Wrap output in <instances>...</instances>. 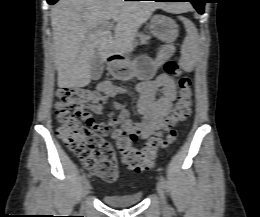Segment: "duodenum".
<instances>
[{"instance_id": "410a0bca", "label": "duodenum", "mask_w": 260, "mask_h": 217, "mask_svg": "<svg viewBox=\"0 0 260 217\" xmlns=\"http://www.w3.org/2000/svg\"><path fill=\"white\" fill-rule=\"evenodd\" d=\"M122 58V54L117 50H111L108 54V62L113 74H116L122 70V66L119 61Z\"/></svg>"}]
</instances>
